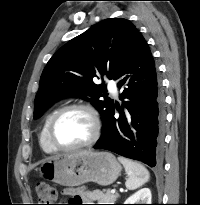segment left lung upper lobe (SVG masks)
<instances>
[{
	"label": "left lung upper lobe",
	"instance_id": "1",
	"mask_svg": "<svg viewBox=\"0 0 200 205\" xmlns=\"http://www.w3.org/2000/svg\"><path fill=\"white\" fill-rule=\"evenodd\" d=\"M137 33L129 20L111 18L95 24L61 47L41 75L34 118L40 117L58 99L72 96L90 100L105 121L114 103L103 94L105 83L96 85L93 79L104 75L114 79Z\"/></svg>",
	"mask_w": 200,
	"mask_h": 205
}]
</instances>
